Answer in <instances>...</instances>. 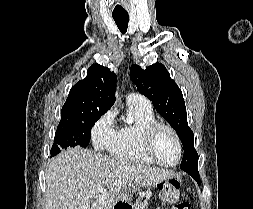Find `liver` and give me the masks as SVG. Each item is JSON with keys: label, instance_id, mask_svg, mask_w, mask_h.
Listing matches in <instances>:
<instances>
[{"label": "liver", "instance_id": "liver-1", "mask_svg": "<svg viewBox=\"0 0 253 209\" xmlns=\"http://www.w3.org/2000/svg\"><path fill=\"white\" fill-rule=\"evenodd\" d=\"M173 176L168 170L69 148L48 163L45 209H111L124 189L155 186ZM97 186L105 191L97 192Z\"/></svg>", "mask_w": 253, "mask_h": 209}]
</instances>
